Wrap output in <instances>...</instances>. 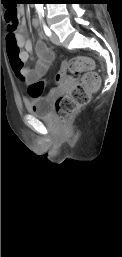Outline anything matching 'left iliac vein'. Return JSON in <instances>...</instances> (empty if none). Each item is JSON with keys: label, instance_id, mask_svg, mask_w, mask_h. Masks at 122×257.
Returning a JSON list of instances; mask_svg holds the SVG:
<instances>
[{"label": "left iliac vein", "instance_id": "1", "mask_svg": "<svg viewBox=\"0 0 122 257\" xmlns=\"http://www.w3.org/2000/svg\"><path fill=\"white\" fill-rule=\"evenodd\" d=\"M50 39H51L52 43H54L55 45H60V40L56 33H52L50 36Z\"/></svg>", "mask_w": 122, "mask_h": 257}]
</instances>
